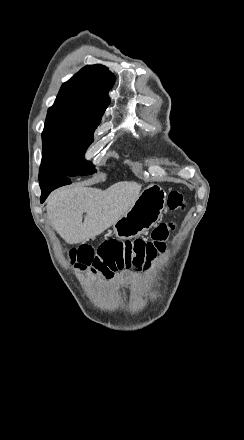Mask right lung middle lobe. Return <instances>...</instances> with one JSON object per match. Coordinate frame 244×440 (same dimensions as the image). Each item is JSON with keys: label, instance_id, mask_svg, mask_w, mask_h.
I'll use <instances>...</instances> for the list:
<instances>
[{"label": "right lung middle lobe", "instance_id": "dd1d6c3e", "mask_svg": "<svg viewBox=\"0 0 244 440\" xmlns=\"http://www.w3.org/2000/svg\"><path fill=\"white\" fill-rule=\"evenodd\" d=\"M103 110L71 105H53L42 133L43 154L39 180L86 176L96 172L84 154L93 142Z\"/></svg>", "mask_w": 244, "mask_h": 440}]
</instances>
